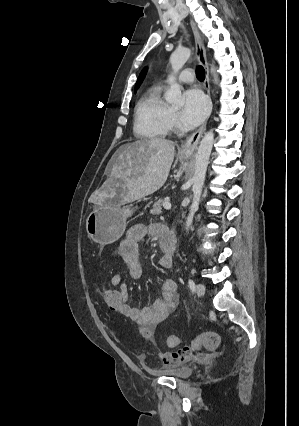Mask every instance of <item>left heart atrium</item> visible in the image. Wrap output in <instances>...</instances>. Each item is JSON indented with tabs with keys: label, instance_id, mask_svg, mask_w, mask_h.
Returning a JSON list of instances; mask_svg holds the SVG:
<instances>
[{
	"label": "left heart atrium",
	"instance_id": "39dd6f15",
	"mask_svg": "<svg viewBox=\"0 0 299 426\" xmlns=\"http://www.w3.org/2000/svg\"><path fill=\"white\" fill-rule=\"evenodd\" d=\"M208 109V101L200 90L192 88L185 92L184 106L181 112L185 122L198 125L206 117Z\"/></svg>",
	"mask_w": 299,
	"mask_h": 426
}]
</instances>
